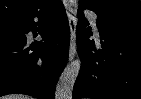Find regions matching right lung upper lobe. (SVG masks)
Masks as SVG:
<instances>
[{"mask_svg":"<svg viewBox=\"0 0 141 99\" xmlns=\"http://www.w3.org/2000/svg\"><path fill=\"white\" fill-rule=\"evenodd\" d=\"M60 0H0V21L48 10Z\"/></svg>","mask_w":141,"mask_h":99,"instance_id":"obj_1","label":"right lung upper lobe"}]
</instances>
